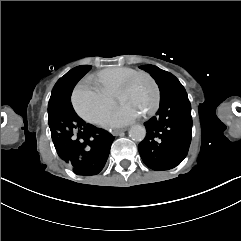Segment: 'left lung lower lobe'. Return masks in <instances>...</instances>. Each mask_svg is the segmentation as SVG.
<instances>
[{"label": "left lung lower lobe", "instance_id": "obj_1", "mask_svg": "<svg viewBox=\"0 0 241 241\" xmlns=\"http://www.w3.org/2000/svg\"><path fill=\"white\" fill-rule=\"evenodd\" d=\"M146 138L138 149L153 170L176 167L187 155L191 142V105L185 89L161 98L156 116L145 122Z\"/></svg>", "mask_w": 241, "mask_h": 241}]
</instances>
